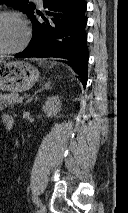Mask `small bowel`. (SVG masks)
Wrapping results in <instances>:
<instances>
[{
	"label": "small bowel",
	"mask_w": 128,
	"mask_h": 213,
	"mask_svg": "<svg viewBox=\"0 0 128 213\" xmlns=\"http://www.w3.org/2000/svg\"><path fill=\"white\" fill-rule=\"evenodd\" d=\"M0 112H1V106H0ZM6 117H7V116H5V115L2 116L3 120H4Z\"/></svg>",
	"instance_id": "1"
}]
</instances>
